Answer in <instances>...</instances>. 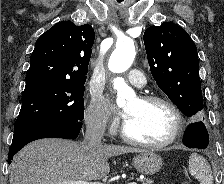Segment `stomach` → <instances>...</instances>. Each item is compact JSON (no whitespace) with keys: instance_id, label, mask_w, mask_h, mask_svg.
I'll return each instance as SVG.
<instances>
[{"instance_id":"0dacf381","label":"stomach","mask_w":224,"mask_h":184,"mask_svg":"<svg viewBox=\"0 0 224 184\" xmlns=\"http://www.w3.org/2000/svg\"><path fill=\"white\" fill-rule=\"evenodd\" d=\"M133 165L141 174L154 175L163 166V161L159 155L145 151L134 157Z\"/></svg>"}]
</instances>
